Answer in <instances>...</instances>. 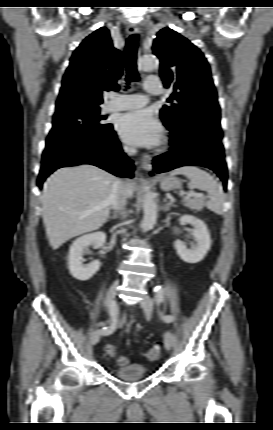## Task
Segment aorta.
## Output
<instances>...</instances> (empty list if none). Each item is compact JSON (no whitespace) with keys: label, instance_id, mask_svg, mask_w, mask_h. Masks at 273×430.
I'll list each match as a JSON object with an SVG mask.
<instances>
[{"label":"aorta","instance_id":"aorta-1","mask_svg":"<svg viewBox=\"0 0 273 430\" xmlns=\"http://www.w3.org/2000/svg\"><path fill=\"white\" fill-rule=\"evenodd\" d=\"M158 67V61L155 55H145L139 61V69L144 72H151ZM146 195L144 199V217L141 223L143 232L153 229L157 221V201L155 196L145 187Z\"/></svg>","mask_w":273,"mask_h":430}]
</instances>
